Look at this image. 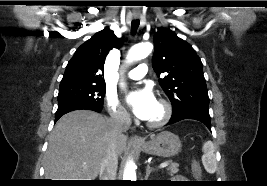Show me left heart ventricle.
Here are the masks:
<instances>
[{
	"label": "left heart ventricle",
	"mask_w": 267,
	"mask_h": 186,
	"mask_svg": "<svg viewBox=\"0 0 267 186\" xmlns=\"http://www.w3.org/2000/svg\"><path fill=\"white\" fill-rule=\"evenodd\" d=\"M161 115H162V108L157 102L151 116L147 119V121H156L161 117Z\"/></svg>",
	"instance_id": "1"
}]
</instances>
